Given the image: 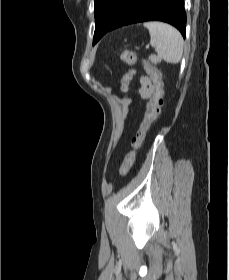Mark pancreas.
<instances>
[{
  "instance_id": "1",
  "label": "pancreas",
  "mask_w": 229,
  "mask_h": 280,
  "mask_svg": "<svg viewBox=\"0 0 229 280\" xmlns=\"http://www.w3.org/2000/svg\"><path fill=\"white\" fill-rule=\"evenodd\" d=\"M149 60L154 64H157L159 62V58L154 54L149 56Z\"/></svg>"
}]
</instances>
